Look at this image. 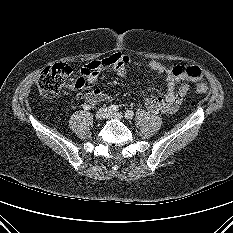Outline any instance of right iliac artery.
<instances>
[{
	"instance_id": "82829eb1",
	"label": "right iliac artery",
	"mask_w": 233,
	"mask_h": 233,
	"mask_svg": "<svg viewBox=\"0 0 233 233\" xmlns=\"http://www.w3.org/2000/svg\"><path fill=\"white\" fill-rule=\"evenodd\" d=\"M108 108L111 113H115L118 111V106L115 104L110 105Z\"/></svg>"
}]
</instances>
